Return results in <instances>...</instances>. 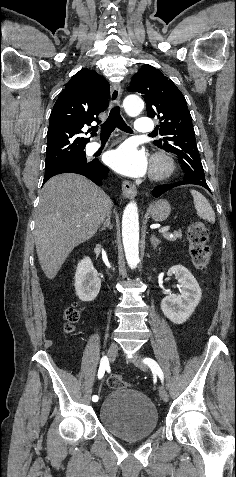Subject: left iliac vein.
Instances as JSON below:
<instances>
[{
  "label": "left iliac vein",
  "instance_id": "4c4485c4",
  "mask_svg": "<svg viewBox=\"0 0 236 477\" xmlns=\"http://www.w3.org/2000/svg\"><path fill=\"white\" fill-rule=\"evenodd\" d=\"M133 362H134V364H135L138 368H140L142 371H147V369H148L147 366H146L144 363H142L138 358H134V359H133ZM160 396H161V399H162L164 402H167L168 399H169L168 394H167V391H166L165 388L162 387V386L160 387Z\"/></svg>",
  "mask_w": 236,
  "mask_h": 477
}]
</instances>
